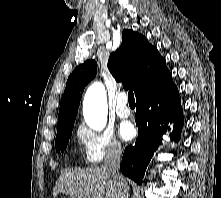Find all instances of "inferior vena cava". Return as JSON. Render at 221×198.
<instances>
[{
  "instance_id": "inferior-vena-cava-1",
  "label": "inferior vena cava",
  "mask_w": 221,
  "mask_h": 198,
  "mask_svg": "<svg viewBox=\"0 0 221 198\" xmlns=\"http://www.w3.org/2000/svg\"><path fill=\"white\" fill-rule=\"evenodd\" d=\"M121 155H122V149L120 146L112 147V149L108 152V154L105 157L103 167L107 172L110 173L112 178L123 187L124 192H126L128 198L129 187L124 177L119 173Z\"/></svg>"
}]
</instances>
